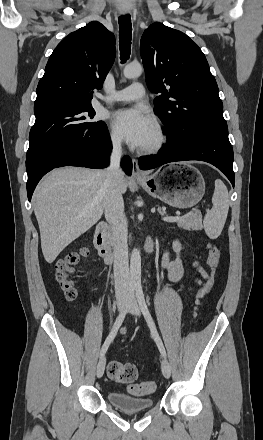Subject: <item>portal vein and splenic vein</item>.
I'll list each match as a JSON object with an SVG mask.
<instances>
[{
    "label": "portal vein and splenic vein",
    "mask_w": 263,
    "mask_h": 440,
    "mask_svg": "<svg viewBox=\"0 0 263 440\" xmlns=\"http://www.w3.org/2000/svg\"><path fill=\"white\" fill-rule=\"evenodd\" d=\"M184 217L183 216H167L163 218V221L165 222H179L180 220H182Z\"/></svg>",
    "instance_id": "portal-vein-and-splenic-vein-1"
}]
</instances>
